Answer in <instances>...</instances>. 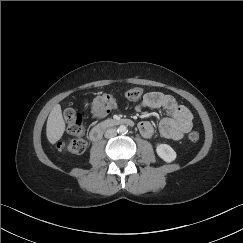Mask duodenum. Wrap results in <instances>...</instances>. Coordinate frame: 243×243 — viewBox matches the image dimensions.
I'll list each match as a JSON object with an SVG mask.
<instances>
[{
	"instance_id": "410a0bca",
	"label": "duodenum",
	"mask_w": 243,
	"mask_h": 243,
	"mask_svg": "<svg viewBox=\"0 0 243 243\" xmlns=\"http://www.w3.org/2000/svg\"><path fill=\"white\" fill-rule=\"evenodd\" d=\"M133 126L134 123L128 118H110L100 122L98 125L93 127L89 133L90 140L96 142L101 139L104 131L112 126Z\"/></svg>"
}]
</instances>
